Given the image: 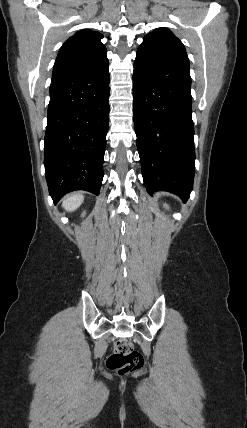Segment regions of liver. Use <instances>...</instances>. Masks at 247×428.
I'll return each instance as SVG.
<instances>
[{
    "mask_svg": "<svg viewBox=\"0 0 247 428\" xmlns=\"http://www.w3.org/2000/svg\"><path fill=\"white\" fill-rule=\"evenodd\" d=\"M84 196L82 194H75L68 197L62 204L67 211H75L83 203Z\"/></svg>",
    "mask_w": 247,
    "mask_h": 428,
    "instance_id": "1",
    "label": "liver"
}]
</instances>
